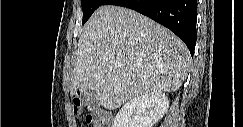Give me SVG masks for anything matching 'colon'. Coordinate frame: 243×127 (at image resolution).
I'll return each instance as SVG.
<instances>
[{
    "instance_id": "5ec220e1",
    "label": "colon",
    "mask_w": 243,
    "mask_h": 127,
    "mask_svg": "<svg viewBox=\"0 0 243 127\" xmlns=\"http://www.w3.org/2000/svg\"><path fill=\"white\" fill-rule=\"evenodd\" d=\"M73 111L77 117L84 116V120L91 127H104L106 123V113L94 106L87 103L81 96H75L73 99Z\"/></svg>"
}]
</instances>
